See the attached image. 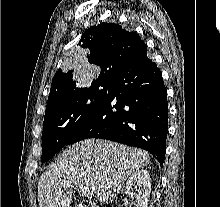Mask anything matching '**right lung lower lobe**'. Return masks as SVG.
<instances>
[{
  "instance_id": "98d812e1",
  "label": "right lung lower lobe",
  "mask_w": 220,
  "mask_h": 207,
  "mask_svg": "<svg viewBox=\"0 0 220 207\" xmlns=\"http://www.w3.org/2000/svg\"><path fill=\"white\" fill-rule=\"evenodd\" d=\"M108 85L102 105L71 135L68 145L87 138L108 139L144 149L163 164L168 102L156 63L145 53Z\"/></svg>"
}]
</instances>
